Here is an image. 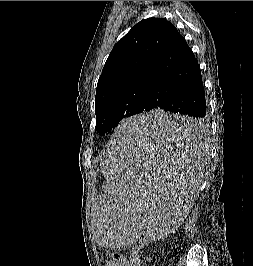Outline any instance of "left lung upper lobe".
Instances as JSON below:
<instances>
[{"mask_svg": "<svg viewBox=\"0 0 253 266\" xmlns=\"http://www.w3.org/2000/svg\"><path fill=\"white\" fill-rule=\"evenodd\" d=\"M176 32L161 18L140 21L118 41L102 70L95 96L96 129L105 134L143 112L158 60Z\"/></svg>", "mask_w": 253, "mask_h": 266, "instance_id": "5c2ea615", "label": "left lung upper lobe"}]
</instances>
